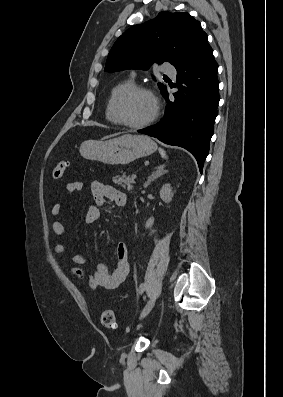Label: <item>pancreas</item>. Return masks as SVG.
<instances>
[{
	"label": "pancreas",
	"mask_w": 283,
	"mask_h": 397,
	"mask_svg": "<svg viewBox=\"0 0 283 397\" xmlns=\"http://www.w3.org/2000/svg\"><path fill=\"white\" fill-rule=\"evenodd\" d=\"M121 173H122V176H119V175L115 176L113 178V182L115 184L122 186L123 188H125L127 190H131L133 187V184H134V179L129 176H126V174L124 172H121Z\"/></svg>",
	"instance_id": "1"
}]
</instances>
